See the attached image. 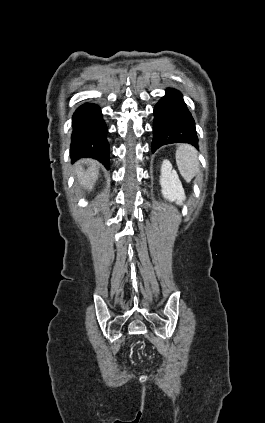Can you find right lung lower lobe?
I'll list each match as a JSON object with an SVG mask.
<instances>
[{"instance_id":"right-lung-lower-lobe-1","label":"right lung lower lobe","mask_w":265,"mask_h":423,"mask_svg":"<svg viewBox=\"0 0 265 423\" xmlns=\"http://www.w3.org/2000/svg\"><path fill=\"white\" fill-rule=\"evenodd\" d=\"M73 132L70 155L73 161L91 157L109 169V144L106 139L107 127L100 108L86 103L73 115Z\"/></svg>"}]
</instances>
